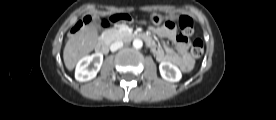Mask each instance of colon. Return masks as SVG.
<instances>
[{"label":"colon","mask_w":276,"mask_h":120,"mask_svg":"<svg viewBox=\"0 0 276 120\" xmlns=\"http://www.w3.org/2000/svg\"><path fill=\"white\" fill-rule=\"evenodd\" d=\"M126 19V20H118V19ZM117 20V21H115ZM128 20H130L128 22ZM124 21V22H122ZM93 22V17L91 15H85L80 18V20L76 23H72L69 26V33L71 35H76L81 28L89 27ZM113 22V23H110ZM107 23V24H106ZM133 23V18L130 15H125L121 12H114L113 14H108L106 17H101L97 21V26L101 30H107L110 26H114L117 28H123L125 26H130ZM168 27H174V23L169 21L166 23ZM178 26L180 29V36L188 37L194 33V22L189 16H181L178 20ZM190 52L193 57L200 58L204 53V44L200 39H196L193 41L191 45Z\"/></svg>","instance_id":"obj_1"}]
</instances>
